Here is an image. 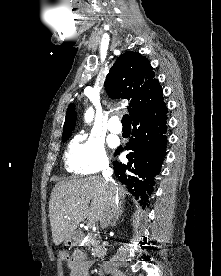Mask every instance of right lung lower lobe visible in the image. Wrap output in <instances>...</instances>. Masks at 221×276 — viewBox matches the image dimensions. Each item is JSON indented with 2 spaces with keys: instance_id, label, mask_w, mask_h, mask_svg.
<instances>
[{
  "instance_id": "right-lung-lower-lobe-1",
  "label": "right lung lower lobe",
  "mask_w": 221,
  "mask_h": 276,
  "mask_svg": "<svg viewBox=\"0 0 221 276\" xmlns=\"http://www.w3.org/2000/svg\"><path fill=\"white\" fill-rule=\"evenodd\" d=\"M166 114V104L162 102L153 110L133 118L132 136L125 147V150H132L127 154L129 162H113L116 177L130 193L141 198L142 205H146L152 194L154 178L160 172L166 154ZM122 150L119 147L115 154Z\"/></svg>"
}]
</instances>
